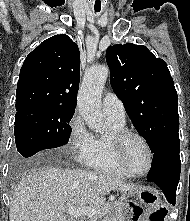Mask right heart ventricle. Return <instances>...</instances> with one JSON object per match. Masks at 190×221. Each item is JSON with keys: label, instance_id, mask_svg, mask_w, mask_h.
I'll return each instance as SVG.
<instances>
[{"label": "right heart ventricle", "instance_id": "e07e8e85", "mask_svg": "<svg viewBox=\"0 0 190 221\" xmlns=\"http://www.w3.org/2000/svg\"><path fill=\"white\" fill-rule=\"evenodd\" d=\"M109 132L105 135L94 136L93 151L85 162L86 166L95 171L130 176L117 163L112 146L113 136L125 129V123L108 119Z\"/></svg>", "mask_w": 190, "mask_h": 221}]
</instances>
